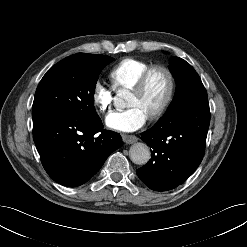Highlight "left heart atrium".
Returning a JSON list of instances; mask_svg holds the SVG:
<instances>
[{
	"mask_svg": "<svg viewBox=\"0 0 247 247\" xmlns=\"http://www.w3.org/2000/svg\"><path fill=\"white\" fill-rule=\"evenodd\" d=\"M147 113L139 106L114 111L106 117V125L116 131L133 132L140 129L148 120Z\"/></svg>",
	"mask_w": 247,
	"mask_h": 247,
	"instance_id": "obj_1",
	"label": "left heart atrium"
}]
</instances>
